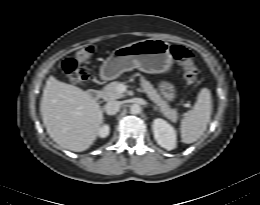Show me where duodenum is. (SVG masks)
<instances>
[{
  "mask_svg": "<svg viewBox=\"0 0 260 205\" xmlns=\"http://www.w3.org/2000/svg\"><path fill=\"white\" fill-rule=\"evenodd\" d=\"M88 96H89V98L91 100L96 101V100H98L100 98L101 93L99 91H97V90H90L88 92Z\"/></svg>",
  "mask_w": 260,
  "mask_h": 205,
  "instance_id": "obj_1",
  "label": "duodenum"
}]
</instances>
